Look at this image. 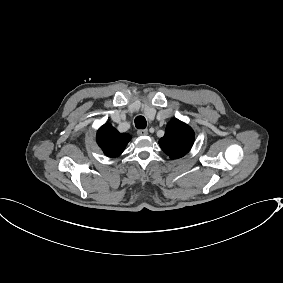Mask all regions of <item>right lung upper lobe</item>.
<instances>
[{"mask_svg":"<svg viewBox=\"0 0 283 283\" xmlns=\"http://www.w3.org/2000/svg\"><path fill=\"white\" fill-rule=\"evenodd\" d=\"M131 137L119 133L112 125L104 124L97 132V143L108 157H118L124 151Z\"/></svg>","mask_w":283,"mask_h":283,"instance_id":"1","label":"right lung upper lobe"}]
</instances>
